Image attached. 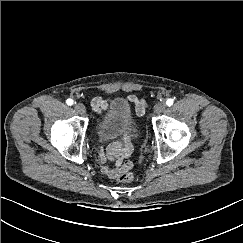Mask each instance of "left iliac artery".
I'll use <instances>...</instances> for the list:
<instances>
[{"label": "left iliac artery", "instance_id": "44dca946", "mask_svg": "<svg viewBox=\"0 0 243 243\" xmlns=\"http://www.w3.org/2000/svg\"><path fill=\"white\" fill-rule=\"evenodd\" d=\"M173 104V99H167L166 105L171 106Z\"/></svg>", "mask_w": 243, "mask_h": 243}]
</instances>
